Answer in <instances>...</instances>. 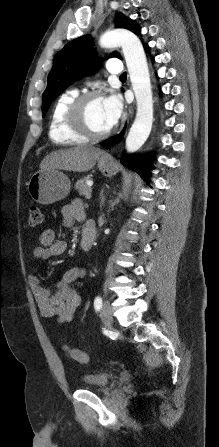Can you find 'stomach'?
Returning a JSON list of instances; mask_svg holds the SVG:
<instances>
[{
	"instance_id": "stomach-1",
	"label": "stomach",
	"mask_w": 219,
	"mask_h": 447,
	"mask_svg": "<svg viewBox=\"0 0 219 447\" xmlns=\"http://www.w3.org/2000/svg\"><path fill=\"white\" fill-rule=\"evenodd\" d=\"M98 168L106 177H111L118 170L113 157L105 153L98 158ZM27 185L31 198L44 205L64 199L71 189L69 178L64 173L53 169L40 170L34 173Z\"/></svg>"
}]
</instances>
